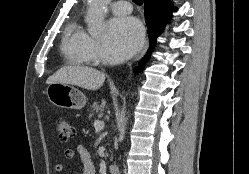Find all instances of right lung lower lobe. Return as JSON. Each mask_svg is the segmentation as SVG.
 Returning a JSON list of instances; mask_svg holds the SVG:
<instances>
[{
    "instance_id": "obj_1",
    "label": "right lung lower lobe",
    "mask_w": 249,
    "mask_h": 174,
    "mask_svg": "<svg viewBox=\"0 0 249 174\" xmlns=\"http://www.w3.org/2000/svg\"><path fill=\"white\" fill-rule=\"evenodd\" d=\"M145 20L149 30L151 47H154L156 38L163 32L169 17L171 2L169 0H145ZM148 56V53H147ZM144 60H147L144 59ZM145 63V61H143Z\"/></svg>"
}]
</instances>
